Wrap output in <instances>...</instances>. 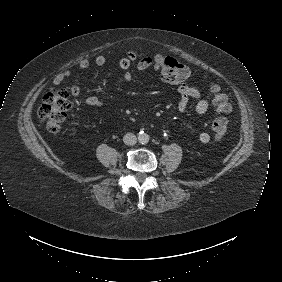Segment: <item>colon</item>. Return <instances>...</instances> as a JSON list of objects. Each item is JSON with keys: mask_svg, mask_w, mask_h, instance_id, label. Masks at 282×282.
Returning <instances> with one entry per match:
<instances>
[{"mask_svg": "<svg viewBox=\"0 0 282 282\" xmlns=\"http://www.w3.org/2000/svg\"><path fill=\"white\" fill-rule=\"evenodd\" d=\"M155 63L157 69L169 82L182 84L194 76L188 66L169 56L159 55L156 57ZM209 92L220 111L228 112L231 109L230 101L219 91L217 86L211 85ZM72 97H74V93L69 94L66 89L59 87L51 88L43 96L42 104L37 113L50 132L56 133L60 129L65 120L66 112L72 107ZM211 130L216 138L224 137L228 132V121L223 117H215L212 121Z\"/></svg>", "mask_w": 282, "mask_h": 282, "instance_id": "5ec220e1", "label": "colon"}]
</instances>
